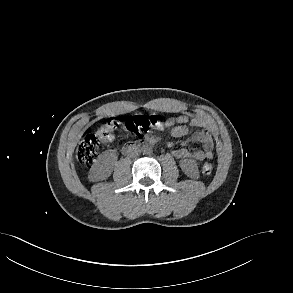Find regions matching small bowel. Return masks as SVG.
I'll return each mask as SVG.
<instances>
[{
  "label": "small bowel",
  "mask_w": 293,
  "mask_h": 293,
  "mask_svg": "<svg viewBox=\"0 0 293 293\" xmlns=\"http://www.w3.org/2000/svg\"><path fill=\"white\" fill-rule=\"evenodd\" d=\"M204 121L198 117H189L187 115H180L177 117L167 118L165 121L161 122L156 129L163 130L165 128L171 129V135L175 138H180L186 136L190 128H199L191 136V141L194 143H199L202 148L193 152H190L187 148H178L173 150V155L179 160H190V161H204L213 158V139L204 128Z\"/></svg>",
  "instance_id": "small-bowel-1"
}]
</instances>
